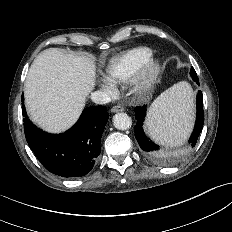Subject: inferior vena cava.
<instances>
[{"label":"inferior vena cava","mask_w":232,"mask_h":232,"mask_svg":"<svg viewBox=\"0 0 232 232\" xmlns=\"http://www.w3.org/2000/svg\"><path fill=\"white\" fill-rule=\"evenodd\" d=\"M91 99L96 104H107L111 101L110 96L105 91H95L91 94Z\"/></svg>","instance_id":"inferior-vena-cava-1"}]
</instances>
